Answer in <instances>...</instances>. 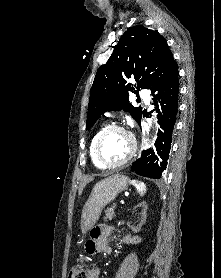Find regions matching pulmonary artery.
I'll return each mask as SVG.
<instances>
[{
	"label": "pulmonary artery",
	"mask_w": 221,
	"mask_h": 278,
	"mask_svg": "<svg viewBox=\"0 0 221 278\" xmlns=\"http://www.w3.org/2000/svg\"><path fill=\"white\" fill-rule=\"evenodd\" d=\"M140 96L145 100L146 103L149 102L150 98L148 95V91L146 89H141L140 90ZM106 115H109L108 113Z\"/></svg>",
	"instance_id": "e3ab8cb5"
}]
</instances>
